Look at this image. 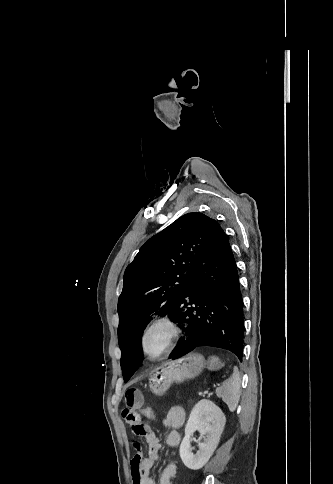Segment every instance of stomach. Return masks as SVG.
<instances>
[{"instance_id":"obj_1","label":"stomach","mask_w":333,"mask_h":484,"mask_svg":"<svg viewBox=\"0 0 333 484\" xmlns=\"http://www.w3.org/2000/svg\"><path fill=\"white\" fill-rule=\"evenodd\" d=\"M219 370L223 364L219 358L212 356L206 361L198 353H189L156 367L149 377V388L156 396H163L173 382H181L196 377L204 367Z\"/></svg>"}]
</instances>
